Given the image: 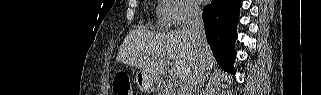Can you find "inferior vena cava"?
Listing matches in <instances>:
<instances>
[{"instance_id":"1","label":"inferior vena cava","mask_w":321,"mask_h":95,"mask_svg":"<svg viewBox=\"0 0 321 95\" xmlns=\"http://www.w3.org/2000/svg\"><path fill=\"white\" fill-rule=\"evenodd\" d=\"M187 28L198 48L199 60L193 72H191L180 88L178 95H195L206 74V63L202 51L207 44L202 18V11L197 6L188 7Z\"/></svg>"}]
</instances>
